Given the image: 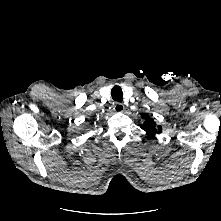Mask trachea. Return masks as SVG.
I'll use <instances>...</instances> for the list:
<instances>
[{
    "label": "trachea",
    "instance_id": "1",
    "mask_svg": "<svg viewBox=\"0 0 221 221\" xmlns=\"http://www.w3.org/2000/svg\"><path fill=\"white\" fill-rule=\"evenodd\" d=\"M111 96L114 101L122 102L123 101V92L120 86H114L111 89Z\"/></svg>",
    "mask_w": 221,
    "mask_h": 221
}]
</instances>
